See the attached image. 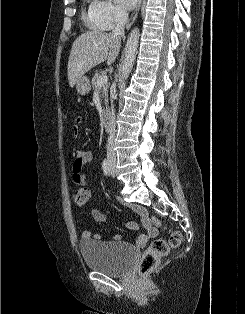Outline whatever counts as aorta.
<instances>
[{
  "mask_svg": "<svg viewBox=\"0 0 245 314\" xmlns=\"http://www.w3.org/2000/svg\"><path fill=\"white\" fill-rule=\"evenodd\" d=\"M139 36H140L139 29L136 27L131 31L127 39L125 47V56L122 65V76L124 78H127L129 76L134 65L138 49Z\"/></svg>",
  "mask_w": 245,
  "mask_h": 314,
  "instance_id": "aorta-1",
  "label": "aorta"
}]
</instances>
